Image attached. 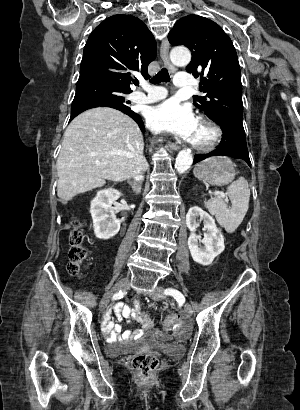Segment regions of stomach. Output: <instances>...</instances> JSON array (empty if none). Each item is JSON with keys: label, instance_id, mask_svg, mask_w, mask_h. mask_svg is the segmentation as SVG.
Here are the masks:
<instances>
[{"label": "stomach", "instance_id": "obj_1", "mask_svg": "<svg viewBox=\"0 0 300 410\" xmlns=\"http://www.w3.org/2000/svg\"><path fill=\"white\" fill-rule=\"evenodd\" d=\"M194 175L212 185H226L234 179L235 170L228 158L218 156L197 164L194 168Z\"/></svg>", "mask_w": 300, "mask_h": 410}]
</instances>
